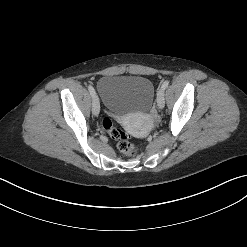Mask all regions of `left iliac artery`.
<instances>
[{"label": "left iliac artery", "mask_w": 247, "mask_h": 247, "mask_svg": "<svg viewBox=\"0 0 247 247\" xmlns=\"http://www.w3.org/2000/svg\"><path fill=\"white\" fill-rule=\"evenodd\" d=\"M168 85H169V81L166 80V81L163 82L161 88H162L163 90H165V89L168 87Z\"/></svg>", "instance_id": "1"}]
</instances>
